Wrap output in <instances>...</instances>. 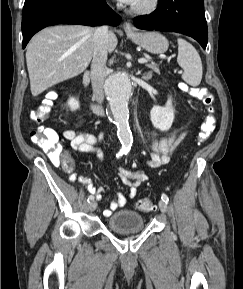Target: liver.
I'll return each mask as SVG.
<instances>
[{
  "mask_svg": "<svg viewBox=\"0 0 243 289\" xmlns=\"http://www.w3.org/2000/svg\"><path fill=\"white\" fill-rule=\"evenodd\" d=\"M94 32L82 25H58L43 29L31 39L26 62L34 97L85 71L93 57ZM117 43L116 35L109 32V53Z\"/></svg>",
  "mask_w": 243,
  "mask_h": 289,
  "instance_id": "obj_1",
  "label": "liver"
}]
</instances>
